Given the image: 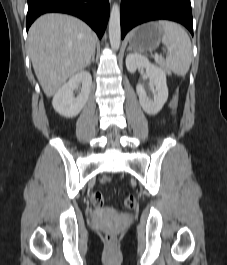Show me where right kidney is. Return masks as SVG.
<instances>
[{
    "label": "right kidney",
    "instance_id": "obj_1",
    "mask_svg": "<svg viewBox=\"0 0 227 265\" xmlns=\"http://www.w3.org/2000/svg\"><path fill=\"white\" fill-rule=\"evenodd\" d=\"M82 85L80 94L75 98L73 91ZM92 77L88 71L73 75L54 95L52 105L57 113L66 117L77 116L85 106L91 90Z\"/></svg>",
    "mask_w": 227,
    "mask_h": 265
}]
</instances>
